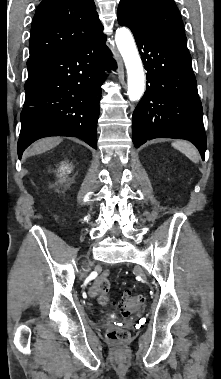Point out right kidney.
I'll use <instances>...</instances> for the list:
<instances>
[{
    "label": "right kidney",
    "mask_w": 221,
    "mask_h": 379,
    "mask_svg": "<svg viewBox=\"0 0 221 379\" xmlns=\"http://www.w3.org/2000/svg\"><path fill=\"white\" fill-rule=\"evenodd\" d=\"M58 172H59V177H64L66 174H69L71 172V168L68 164L62 163L58 169Z\"/></svg>",
    "instance_id": "obj_1"
}]
</instances>
